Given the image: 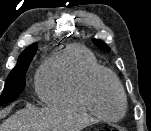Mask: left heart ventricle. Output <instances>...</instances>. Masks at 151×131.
<instances>
[{
    "label": "left heart ventricle",
    "mask_w": 151,
    "mask_h": 131,
    "mask_svg": "<svg viewBox=\"0 0 151 131\" xmlns=\"http://www.w3.org/2000/svg\"><path fill=\"white\" fill-rule=\"evenodd\" d=\"M96 101L100 110L111 117L117 116L122 109L120 95L108 78H102L97 83Z\"/></svg>",
    "instance_id": "1"
}]
</instances>
